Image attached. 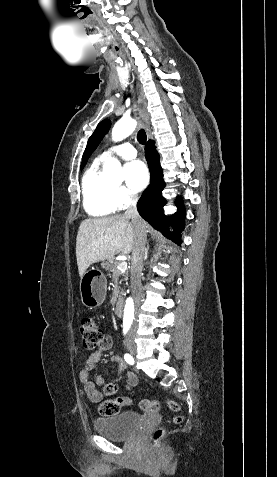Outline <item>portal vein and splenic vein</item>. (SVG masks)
<instances>
[{
    "mask_svg": "<svg viewBox=\"0 0 277 477\" xmlns=\"http://www.w3.org/2000/svg\"><path fill=\"white\" fill-rule=\"evenodd\" d=\"M117 269L120 272H125L126 269H127V262H125V261L120 262L119 265L117 266Z\"/></svg>",
    "mask_w": 277,
    "mask_h": 477,
    "instance_id": "18ae733b",
    "label": "portal vein and splenic vein"
}]
</instances>
